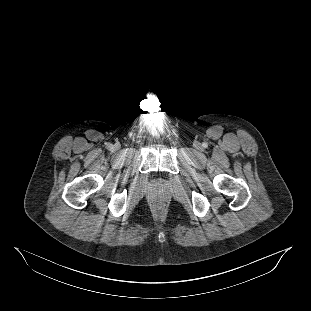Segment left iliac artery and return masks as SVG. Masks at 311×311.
<instances>
[{"label": "left iliac artery", "mask_w": 311, "mask_h": 311, "mask_svg": "<svg viewBox=\"0 0 311 311\" xmlns=\"http://www.w3.org/2000/svg\"><path fill=\"white\" fill-rule=\"evenodd\" d=\"M203 147L206 148L207 147V143H203Z\"/></svg>", "instance_id": "left-iliac-artery-1"}]
</instances>
